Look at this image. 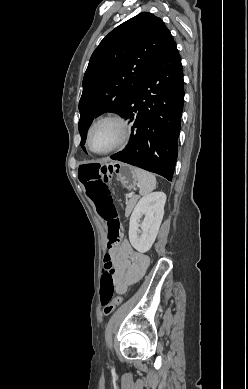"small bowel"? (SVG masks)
<instances>
[{
  "instance_id": "c3829d8e",
  "label": "small bowel",
  "mask_w": 248,
  "mask_h": 389,
  "mask_svg": "<svg viewBox=\"0 0 248 389\" xmlns=\"http://www.w3.org/2000/svg\"><path fill=\"white\" fill-rule=\"evenodd\" d=\"M110 259L116 269L115 292L124 294L128 287L139 281L149 266V257L136 251L127 240L109 251Z\"/></svg>"
}]
</instances>
